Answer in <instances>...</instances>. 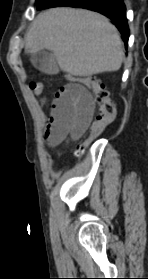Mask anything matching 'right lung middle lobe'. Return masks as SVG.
Masks as SVG:
<instances>
[{"mask_svg":"<svg viewBox=\"0 0 148 279\" xmlns=\"http://www.w3.org/2000/svg\"><path fill=\"white\" fill-rule=\"evenodd\" d=\"M48 1L49 0H36L37 9H43Z\"/></svg>","mask_w":148,"mask_h":279,"instance_id":"right-lung-middle-lobe-1","label":"right lung middle lobe"}]
</instances>
